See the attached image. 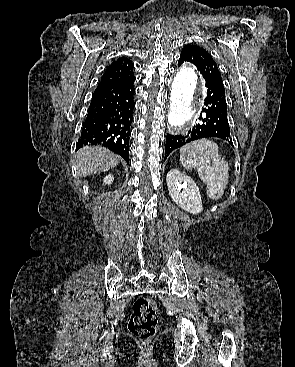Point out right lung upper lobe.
I'll use <instances>...</instances> for the list:
<instances>
[{"mask_svg": "<svg viewBox=\"0 0 295 367\" xmlns=\"http://www.w3.org/2000/svg\"><path fill=\"white\" fill-rule=\"evenodd\" d=\"M135 80L132 62L125 58H118L106 69L101 83L118 84Z\"/></svg>", "mask_w": 295, "mask_h": 367, "instance_id": "right-lung-upper-lobe-1", "label": "right lung upper lobe"}]
</instances>
